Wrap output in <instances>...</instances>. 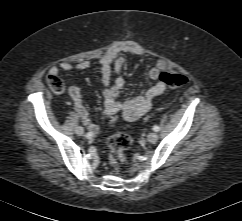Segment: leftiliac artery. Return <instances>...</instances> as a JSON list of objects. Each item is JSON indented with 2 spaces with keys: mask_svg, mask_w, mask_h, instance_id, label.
<instances>
[{
  "mask_svg": "<svg viewBox=\"0 0 242 221\" xmlns=\"http://www.w3.org/2000/svg\"><path fill=\"white\" fill-rule=\"evenodd\" d=\"M159 129H160V128H159L158 126H156V125L153 127V130L156 131V132H158Z\"/></svg>",
  "mask_w": 242,
  "mask_h": 221,
  "instance_id": "obj_1",
  "label": "left iliac artery"
}]
</instances>
